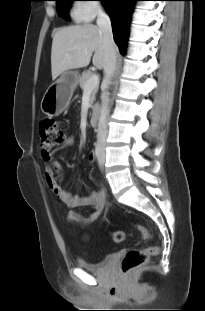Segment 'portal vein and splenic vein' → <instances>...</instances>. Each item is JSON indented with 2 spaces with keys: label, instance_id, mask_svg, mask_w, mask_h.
<instances>
[{
  "label": "portal vein and splenic vein",
  "instance_id": "portal-vein-and-splenic-vein-1",
  "mask_svg": "<svg viewBox=\"0 0 205 311\" xmlns=\"http://www.w3.org/2000/svg\"><path fill=\"white\" fill-rule=\"evenodd\" d=\"M98 85H99V75L93 74V76L87 81L84 91H91Z\"/></svg>",
  "mask_w": 205,
  "mask_h": 311
}]
</instances>
